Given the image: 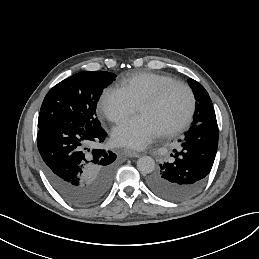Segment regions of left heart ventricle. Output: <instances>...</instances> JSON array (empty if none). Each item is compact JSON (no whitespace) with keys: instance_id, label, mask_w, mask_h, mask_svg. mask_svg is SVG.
<instances>
[{"instance_id":"left-heart-ventricle-1","label":"left heart ventricle","mask_w":259,"mask_h":259,"mask_svg":"<svg viewBox=\"0 0 259 259\" xmlns=\"http://www.w3.org/2000/svg\"><path fill=\"white\" fill-rule=\"evenodd\" d=\"M188 94L182 87L172 88L156 105L142 106L139 116L146 117L161 132L176 125L186 114L188 109Z\"/></svg>"}]
</instances>
